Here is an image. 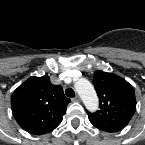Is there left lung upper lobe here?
Listing matches in <instances>:
<instances>
[{"label":"left lung upper lobe","instance_id":"left-lung-upper-lobe-1","mask_svg":"<svg viewBox=\"0 0 145 145\" xmlns=\"http://www.w3.org/2000/svg\"><path fill=\"white\" fill-rule=\"evenodd\" d=\"M93 84L100 110L87 112L89 121L106 132H118L130 121L136 110L133 87L123 78L103 71L94 74Z\"/></svg>","mask_w":145,"mask_h":145}]
</instances>
